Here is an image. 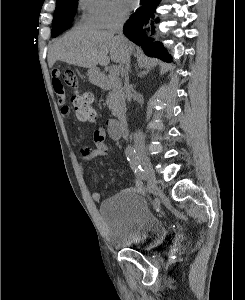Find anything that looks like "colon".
Listing matches in <instances>:
<instances>
[{
    "label": "colon",
    "instance_id": "obj_1",
    "mask_svg": "<svg viewBox=\"0 0 245 300\" xmlns=\"http://www.w3.org/2000/svg\"><path fill=\"white\" fill-rule=\"evenodd\" d=\"M54 73L57 74L66 85L73 89L72 103L77 119L82 122L93 121L95 119L93 97L89 92L79 89L75 72L72 70H57Z\"/></svg>",
    "mask_w": 245,
    "mask_h": 300
}]
</instances>
